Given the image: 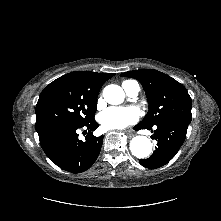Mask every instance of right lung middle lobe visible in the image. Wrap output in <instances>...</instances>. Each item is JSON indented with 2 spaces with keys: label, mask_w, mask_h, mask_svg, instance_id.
<instances>
[{
  "label": "right lung middle lobe",
  "mask_w": 221,
  "mask_h": 221,
  "mask_svg": "<svg viewBox=\"0 0 221 221\" xmlns=\"http://www.w3.org/2000/svg\"><path fill=\"white\" fill-rule=\"evenodd\" d=\"M97 96L89 95L74 82L58 78L47 85L36 105L38 133L58 125L82 126L94 120Z\"/></svg>",
  "instance_id": "1"
}]
</instances>
